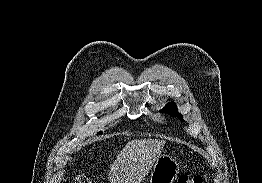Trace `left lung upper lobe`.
Returning <instances> with one entry per match:
<instances>
[{
	"mask_svg": "<svg viewBox=\"0 0 262 183\" xmlns=\"http://www.w3.org/2000/svg\"><path fill=\"white\" fill-rule=\"evenodd\" d=\"M161 111L165 113H169L173 116H177L180 120H183V116L177 111L176 103L173 102L168 103Z\"/></svg>",
	"mask_w": 262,
	"mask_h": 183,
	"instance_id": "5c2ea615",
	"label": "left lung upper lobe"
}]
</instances>
